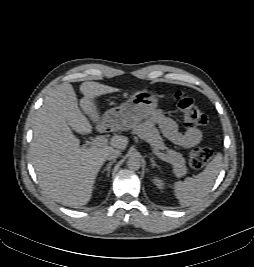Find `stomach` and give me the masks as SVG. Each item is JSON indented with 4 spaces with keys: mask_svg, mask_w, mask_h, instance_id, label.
<instances>
[{
    "mask_svg": "<svg viewBox=\"0 0 254 267\" xmlns=\"http://www.w3.org/2000/svg\"><path fill=\"white\" fill-rule=\"evenodd\" d=\"M158 102L152 91H137L120 106L107 110L102 120L112 129L128 130L152 115L158 107Z\"/></svg>",
    "mask_w": 254,
    "mask_h": 267,
    "instance_id": "stomach-1",
    "label": "stomach"
}]
</instances>
